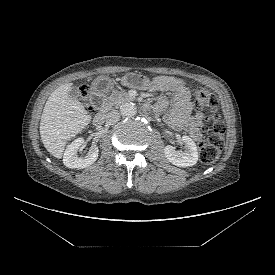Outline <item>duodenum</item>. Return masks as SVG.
I'll list each match as a JSON object with an SVG mask.
<instances>
[{
    "label": "duodenum",
    "instance_id": "obj_1",
    "mask_svg": "<svg viewBox=\"0 0 275 275\" xmlns=\"http://www.w3.org/2000/svg\"><path fill=\"white\" fill-rule=\"evenodd\" d=\"M93 98L96 102H101L103 98V93L99 89H96L93 91ZM145 108L148 110L147 106ZM105 118H106V110L105 109L99 110L93 119L94 125L95 126L103 125V123L105 122Z\"/></svg>",
    "mask_w": 275,
    "mask_h": 275
}]
</instances>
